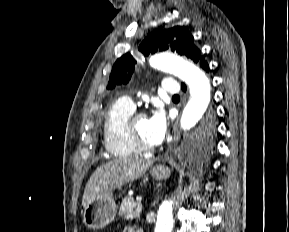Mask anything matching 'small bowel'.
<instances>
[{
	"mask_svg": "<svg viewBox=\"0 0 289 232\" xmlns=\"http://www.w3.org/2000/svg\"><path fill=\"white\" fill-rule=\"evenodd\" d=\"M123 232H139V230H135L132 227H125Z\"/></svg>",
	"mask_w": 289,
	"mask_h": 232,
	"instance_id": "obj_1",
	"label": "small bowel"
}]
</instances>
